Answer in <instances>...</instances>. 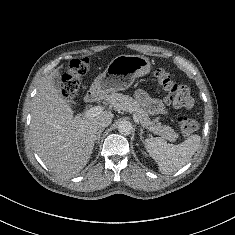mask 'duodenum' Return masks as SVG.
<instances>
[{
    "instance_id": "obj_1",
    "label": "duodenum",
    "mask_w": 235,
    "mask_h": 235,
    "mask_svg": "<svg viewBox=\"0 0 235 235\" xmlns=\"http://www.w3.org/2000/svg\"><path fill=\"white\" fill-rule=\"evenodd\" d=\"M96 100H97V93L95 91H90L85 97L86 103H93Z\"/></svg>"
}]
</instances>
